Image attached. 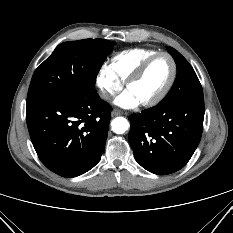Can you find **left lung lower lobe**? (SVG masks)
Masks as SVG:
<instances>
[{"mask_svg":"<svg viewBox=\"0 0 233 233\" xmlns=\"http://www.w3.org/2000/svg\"><path fill=\"white\" fill-rule=\"evenodd\" d=\"M204 111V100H179L130 115L136 161L157 175L183 168L200 142Z\"/></svg>","mask_w":233,"mask_h":233,"instance_id":"0a47b994","label":"left lung lower lobe"}]
</instances>
